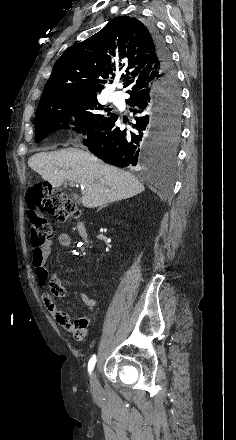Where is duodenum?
I'll list each match as a JSON object with an SVG mask.
<instances>
[{"instance_id": "410a0bca", "label": "duodenum", "mask_w": 236, "mask_h": 440, "mask_svg": "<svg viewBox=\"0 0 236 440\" xmlns=\"http://www.w3.org/2000/svg\"><path fill=\"white\" fill-rule=\"evenodd\" d=\"M77 231H78L79 235H80L83 239L87 240V238H88V233H87V229H86L84 223L79 222V223L77 224Z\"/></svg>"}]
</instances>
